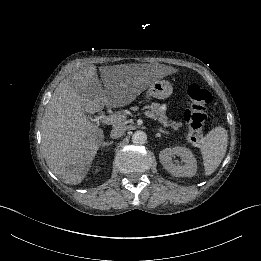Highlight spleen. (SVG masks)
Wrapping results in <instances>:
<instances>
[{"label": "spleen", "instance_id": "obj_1", "mask_svg": "<svg viewBox=\"0 0 261 261\" xmlns=\"http://www.w3.org/2000/svg\"><path fill=\"white\" fill-rule=\"evenodd\" d=\"M228 143V132L218 126L200 140V151L203 158L205 175L209 176L218 168L225 156Z\"/></svg>", "mask_w": 261, "mask_h": 261}]
</instances>
